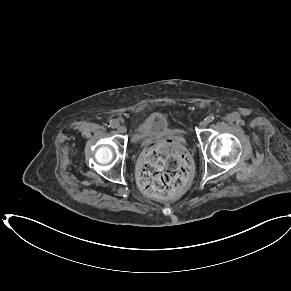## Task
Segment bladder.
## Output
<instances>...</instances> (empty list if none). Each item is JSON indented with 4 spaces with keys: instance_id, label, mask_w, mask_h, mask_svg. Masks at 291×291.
Listing matches in <instances>:
<instances>
[{
    "instance_id": "obj_1",
    "label": "bladder",
    "mask_w": 291,
    "mask_h": 291,
    "mask_svg": "<svg viewBox=\"0 0 291 291\" xmlns=\"http://www.w3.org/2000/svg\"><path fill=\"white\" fill-rule=\"evenodd\" d=\"M172 127L164 114L151 116L136 127V133L144 137H157L166 134Z\"/></svg>"
}]
</instances>
